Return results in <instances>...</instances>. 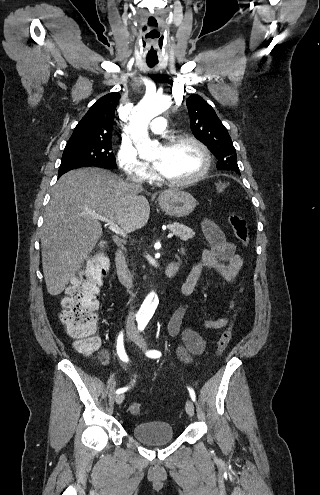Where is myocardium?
I'll list each match as a JSON object with an SVG mask.
<instances>
[{
  "label": "myocardium",
  "mask_w": 320,
  "mask_h": 495,
  "mask_svg": "<svg viewBox=\"0 0 320 495\" xmlns=\"http://www.w3.org/2000/svg\"><path fill=\"white\" fill-rule=\"evenodd\" d=\"M182 143L192 144L193 146H195L199 150V152L202 155L203 166H202V169L196 175H194L190 178L184 179V180H175V179H171V178L164 176L162 173L160 174V179L163 182H165L169 185L178 186V187L189 186V185H193L195 183H198L208 174V172L211 168V156H210V153H209L207 147L201 141L196 139L195 137L188 136V135L174 136V137H171L167 140L164 147L170 148V147L176 146L178 144H182Z\"/></svg>",
  "instance_id": "myocardium-1"
}]
</instances>
